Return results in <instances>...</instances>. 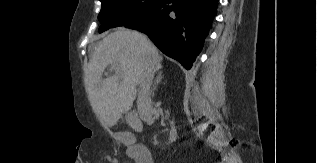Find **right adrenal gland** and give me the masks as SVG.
Listing matches in <instances>:
<instances>
[{"label":"right adrenal gland","mask_w":317,"mask_h":163,"mask_svg":"<svg viewBox=\"0 0 317 163\" xmlns=\"http://www.w3.org/2000/svg\"><path fill=\"white\" fill-rule=\"evenodd\" d=\"M162 74H163V72L160 71V72L158 73V75H157L155 81H154V84H153V87H152V90H151L152 96H154V91L156 90V86L162 81V78H163Z\"/></svg>","instance_id":"2a0ac1e0"}]
</instances>
